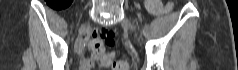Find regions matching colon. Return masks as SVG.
<instances>
[{"mask_svg":"<svg viewBox=\"0 0 238 70\" xmlns=\"http://www.w3.org/2000/svg\"><path fill=\"white\" fill-rule=\"evenodd\" d=\"M70 0H51L53 8L61 10L69 5ZM146 6L152 13L162 12V4L159 0H147ZM115 32L107 28H99L94 31L93 39L90 42L92 51L102 57L103 67L111 65L113 70H127L128 63L125 60L112 61L110 55L105 53V45L115 46Z\"/></svg>","mask_w":238,"mask_h":70,"instance_id":"5ec220e1","label":"colon"}]
</instances>
